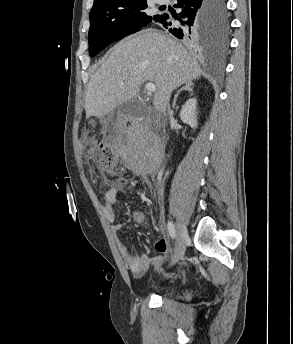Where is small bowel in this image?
Instances as JSON below:
<instances>
[{
    "instance_id": "1",
    "label": "small bowel",
    "mask_w": 293,
    "mask_h": 344,
    "mask_svg": "<svg viewBox=\"0 0 293 344\" xmlns=\"http://www.w3.org/2000/svg\"><path fill=\"white\" fill-rule=\"evenodd\" d=\"M120 190V183L112 185L107 190L104 197L105 204L103 212L107 222L111 224V231L121 257L126 263L132 276L134 278H140L147 272L150 266L159 268L163 264V262L167 259L169 253V243L165 237H161L157 240L155 247L156 250L161 253V255L150 256L148 251L141 255H135L130 251L128 246L118 235V232L120 231L122 225L116 222V212L114 210V205L118 202Z\"/></svg>"
}]
</instances>
